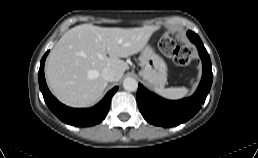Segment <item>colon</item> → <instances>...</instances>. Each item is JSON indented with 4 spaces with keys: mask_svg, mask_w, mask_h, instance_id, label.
<instances>
[{
    "mask_svg": "<svg viewBox=\"0 0 258 158\" xmlns=\"http://www.w3.org/2000/svg\"><path fill=\"white\" fill-rule=\"evenodd\" d=\"M182 36L179 33L166 32L159 43L161 51L171 57L179 65H188L193 61V49L180 45Z\"/></svg>",
    "mask_w": 258,
    "mask_h": 158,
    "instance_id": "colon-1",
    "label": "colon"
}]
</instances>
